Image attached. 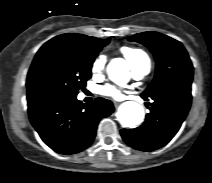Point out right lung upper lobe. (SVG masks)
I'll list each match as a JSON object with an SVG mask.
<instances>
[{
  "instance_id": "1",
  "label": "right lung upper lobe",
  "mask_w": 212,
  "mask_h": 183,
  "mask_svg": "<svg viewBox=\"0 0 212 183\" xmlns=\"http://www.w3.org/2000/svg\"><path fill=\"white\" fill-rule=\"evenodd\" d=\"M51 40H64L74 44H84V45L92 46L95 42L105 40V39H99V38L90 37V36L81 35V34L67 33V34L59 35Z\"/></svg>"
}]
</instances>
